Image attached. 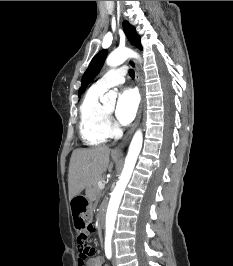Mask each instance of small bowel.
Listing matches in <instances>:
<instances>
[{
    "mask_svg": "<svg viewBox=\"0 0 233 266\" xmlns=\"http://www.w3.org/2000/svg\"><path fill=\"white\" fill-rule=\"evenodd\" d=\"M103 262H104L103 257L94 256V257L88 258L82 266H103ZM78 265H79V259H78Z\"/></svg>",
    "mask_w": 233,
    "mask_h": 266,
    "instance_id": "1",
    "label": "small bowel"
}]
</instances>
